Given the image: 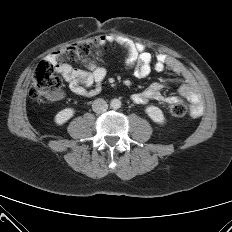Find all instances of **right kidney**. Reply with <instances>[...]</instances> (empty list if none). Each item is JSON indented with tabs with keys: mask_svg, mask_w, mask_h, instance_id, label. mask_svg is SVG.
Instances as JSON below:
<instances>
[{
	"mask_svg": "<svg viewBox=\"0 0 232 232\" xmlns=\"http://www.w3.org/2000/svg\"><path fill=\"white\" fill-rule=\"evenodd\" d=\"M75 111L71 108H66L58 112L54 118L57 125L66 123L70 118L74 116Z\"/></svg>",
	"mask_w": 232,
	"mask_h": 232,
	"instance_id": "right-kidney-1",
	"label": "right kidney"
}]
</instances>
